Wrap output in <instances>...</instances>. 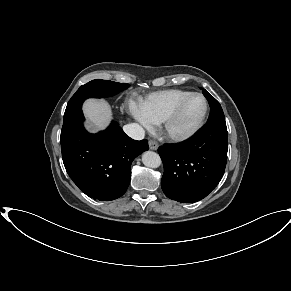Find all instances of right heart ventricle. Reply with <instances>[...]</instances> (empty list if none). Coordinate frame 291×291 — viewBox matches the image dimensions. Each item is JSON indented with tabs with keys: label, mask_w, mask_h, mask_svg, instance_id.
Masks as SVG:
<instances>
[{
	"label": "right heart ventricle",
	"mask_w": 291,
	"mask_h": 291,
	"mask_svg": "<svg viewBox=\"0 0 291 291\" xmlns=\"http://www.w3.org/2000/svg\"><path fill=\"white\" fill-rule=\"evenodd\" d=\"M190 93V91L182 89H167L154 92L141 100L139 107L150 123L159 124Z\"/></svg>",
	"instance_id": "right-heart-ventricle-1"
}]
</instances>
